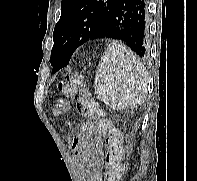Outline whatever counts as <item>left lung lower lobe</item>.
Instances as JSON below:
<instances>
[{"label":"left lung lower lobe","instance_id":"0a47b994","mask_svg":"<svg viewBox=\"0 0 197 181\" xmlns=\"http://www.w3.org/2000/svg\"><path fill=\"white\" fill-rule=\"evenodd\" d=\"M147 35L146 0H115L97 29L95 39L120 40L143 57L148 52Z\"/></svg>","mask_w":197,"mask_h":181}]
</instances>
